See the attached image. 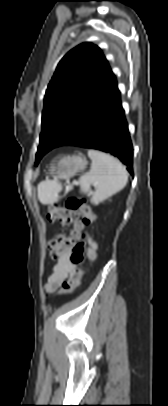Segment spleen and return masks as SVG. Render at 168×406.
<instances>
[{"instance_id":"spleen-1","label":"spleen","mask_w":168,"mask_h":406,"mask_svg":"<svg viewBox=\"0 0 168 406\" xmlns=\"http://www.w3.org/2000/svg\"><path fill=\"white\" fill-rule=\"evenodd\" d=\"M91 159L89 172L79 178L80 191L91 196V203L98 205L122 190L128 181V174L123 164L115 157L97 150H89ZM95 191H91V185ZM62 185L56 180H45L38 185V197L43 204L58 201Z\"/></svg>"}]
</instances>
